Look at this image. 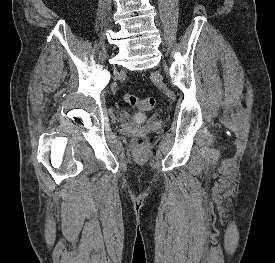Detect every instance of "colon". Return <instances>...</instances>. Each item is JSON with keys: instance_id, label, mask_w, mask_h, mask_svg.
Returning a JSON list of instances; mask_svg holds the SVG:
<instances>
[{"instance_id": "colon-1", "label": "colon", "mask_w": 275, "mask_h": 263, "mask_svg": "<svg viewBox=\"0 0 275 263\" xmlns=\"http://www.w3.org/2000/svg\"><path fill=\"white\" fill-rule=\"evenodd\" d=\"M123 101L134 108H139L145 111H151L156 105V100L153 97L138 98L133 94H125ZM147 143V137L143 134H137L134 137V144L136 146H144Z\"/></svg>"}]
</instances>
